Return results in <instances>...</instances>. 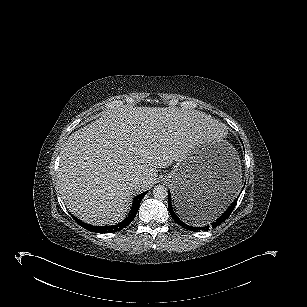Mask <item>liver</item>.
<instances>
[{
  "instance_id": "liver-1",
  "label": "liver",
  "mask_w": 307,
  "mask_h": 307,
  "mask_svg": "<svg viewBox=\"0 0 307 307\" xmlns=\"http://www.w3.org/2000/svg\"><path fill=\"white\" fill-rule=\"evenodd\" d=\"M222 126L198 111L126 107L72 133L61 151L60 194L76 217L92 225L122 221L133 194L150 188L158 169L200 141L220 139ZM134 179L144 182L137 188Z\"/></svg>"
}]
</instances>
